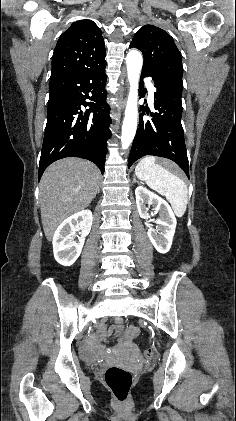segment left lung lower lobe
Segmentation results:
<instances>
[{"mask_svg": "<svg viewBox=\"0 0 236 421\" xmlns=\"http://www.w3.org/2000/svg\"><path fill=\"white\" fill-rule=\"evenodd\" d=\"M144 77H152L154 87V109L152 119L139 116V127L128 159V168L145 155L165 157L176 162L189 178V166L184 141L182 116V85L169 78L156 77L143 69ZM141 88L143 83L141 82ZM148 113V111H146Z\"/></svg>", "mask_w": 236, "mask_h": 421, "instance_id": "left-lung-lower-lobe-1", "label": "left lung lower lobe"}]
</instances>
